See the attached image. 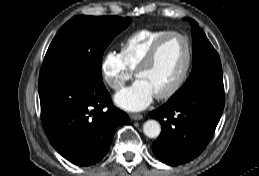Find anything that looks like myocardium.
I'll return each instance as SVG.
<instances>
[{
  "mask_svg": "<svg viewBox=\"0 0 259 176\" xmlns=\"http://www.w3.org/2000/svg\"><path fill=\"white\" fill-rule=\"evenodd\" d=\"M172 36H178L182 38L186 43V61L185 65L176 79V81L164 92L159 93L155 95V97L159 100L168 99L172 96H174L183 86L184 82L186 81V78L189 74L192 60H193V45L191 42V39L186 35L178 31H168L163 36H161L149 49L145 57L142 59L140 64L137 66L135 70V76L137 77L138 74L143 71L144 69L148 68L156 59L157 54L163 45V43Z\"/></svg>",
  "mask_w": 259,
  "mask_h": 176,
  "instance_id": "f54148a6",
  "label": "myocardium"
}]
</instances>
